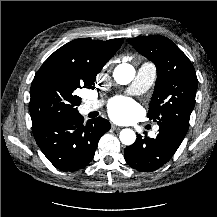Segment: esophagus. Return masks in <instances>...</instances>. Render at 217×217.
<instances>
[{
  "label": "esophagus",
  "instance_id": "1",
  "mask_svg": "<svg viewBox=\"0 0 217 217\" xmlns=\"http://www.w3.org/2000/svg\"><path fill=\"white\" fill-rule=\"evenodd\" d=\"M111 128H112L113 130H120V129H121V127H119V126H117V125H115V124H112V125H111Z\"/></svg>",
  "mask_w": 217,
  "mask_h": 217
}]
</instances>
